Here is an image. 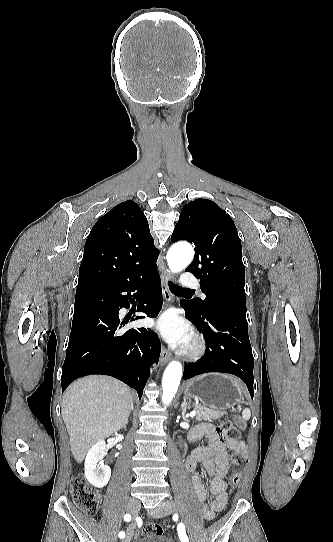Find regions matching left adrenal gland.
Here are the masks:
<instances>
[{"mask_svg": "<svg viewBox=\"0 0 333 542\" xmlns=\"http://www.w3.org/2000/svg\"><path fill=\"white\" fill-rule=\"evenodd\" d=\"M181 408H182V414H181L182 420H184V422H185V420H187V418H185V414H186L187 410H189V408H188V402H186V396H184V398H183V402H182V404H181Z\"/></svg>", "mask_w": 333, "mask_h": 542, "instance_id": "a2214340", "label": "left adrenal gland"}]
</instances>
